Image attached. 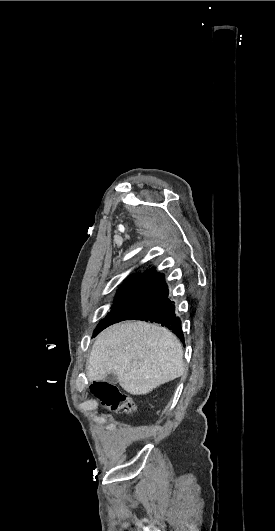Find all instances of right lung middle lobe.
I'll return each mask as SVG.
<instances>
[{
    "label": "right lung middle lobe",
    "mask_w": 275,
    "mask_h": 531,
    "mask_svg": "<svg viewBox=\"0 0 275 531\" xmlns=\"http://www.w3.org/2000/svg\"><path fill=\"white\" fill-rule=\"evenodd\" d=\"M142 274H135L133 276H131L124 284L123 286L117 291V295H116V299L117 301H119L121 299V297L131 288L133 287L137 281L140 279ZM103 322V320L100 321V323L97 325L96 329H95V333L96 331L99 329L101 323ZM94 333V334H95Z\"/></svg>",
    "instance_id": "right-lung-middle-lobe-1"
}]
</instances>
